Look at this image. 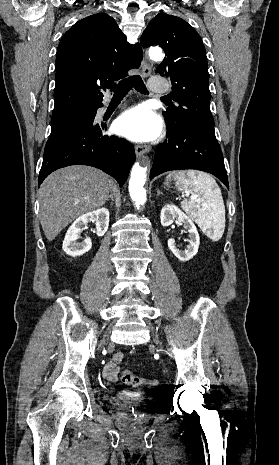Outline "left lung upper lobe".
<instances>
[{
    "mask_svg": "<svg viewBox=\"0 0 279 465\" xmlns=\"http://www.w3.org/2000/svg\"><path fill=\"white\" fill-rule=\"evenodd\" d=\"M141 44L158 45L166 54L156 72L171 79L170 97L178 103L163 112L167 128L191 127L216 138L206 51L199 34L183 19L159 13L142 34Z\"/></svg>",
    "mask_w": 279,
    "mask_h": 465,
    "instance_id": "5c2ea615",
    "label": "left lung upper lobe"
}]
</instances>
